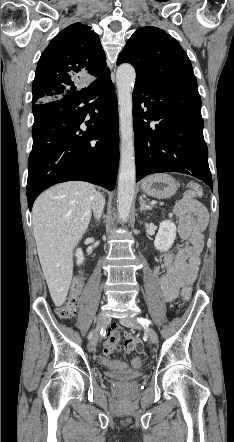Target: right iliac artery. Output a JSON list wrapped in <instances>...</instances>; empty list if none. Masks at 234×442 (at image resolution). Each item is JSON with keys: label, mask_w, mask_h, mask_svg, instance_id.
I'll use <instances>...</instances> for the list:
<instances>
[{"label": "right iliac artery", "mask_w": 234, "mask_h": 442, "mask_svg": "<svg viewBox=\"0 0 234 442\" xmlns=\"http://www.w3.org/2000/svg\"><path fill=\"white\" fill-rule=\"evenodd\" d=\"M91 337H92V332H90V334H89V337H88V338L90 339Z\"/></svg>", "instance_id": "1"}]
</instances>
